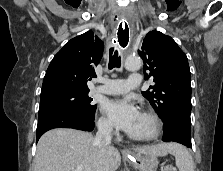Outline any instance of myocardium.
I'll list each match as a JSON object with an SVG mask.
<instances>
[{"instance_id":"obj_1","label":"myocardium","mask_w":223,"mask_h":171,"mask_svg":"<svg viewBox=\"0 0 223 171\" xmlns=\"http://www.w3.org/2000/svg\"><path fill=\"white\" fill-rule=\"evenodd\" d=\"M141 114L146 116L152 121L153 132L147 136H133V135L128 134V137L131 140L138 141V142H149V141H153L157 139L160 136L162 132V128H163V124L160 117L155 112L150 111V110H143Z\"/></svg>"}]
</instances>
